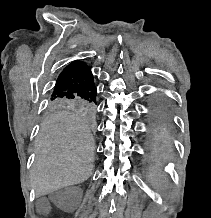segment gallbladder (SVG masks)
Masks as SVG:
<instances>
[{"instance_id":"bac80fb5","label":"gallbladder","mask_w":211,"mask_h":218,"mask_svg":"<svg viewBox=\"0 0 211 218\" xmlns=\"http://www.w3.org/2000/svg\"><path fill=\"white\" fill-rule=\"evenodd\" d=\"M48 208H50V204H48Z\"/></svg>"}]
</instances>
